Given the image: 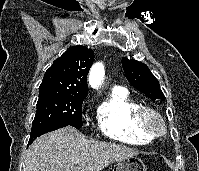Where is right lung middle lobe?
<instances>
[{"instance_id":"right-lung-middle-lobe-1","label":"right lung middle lobe","mask_w":199,"mask_h":171,"mask_svg":"<svg viewBox=\"0 0 199 171\" xmlns=\"http://www.w3.org/2000/svg\"><path fill=\"white\" fill-rule=\"evenodd\" d=\"M84 98L55 90L40 89L32 127L41 123L61 122L80 129Z\"/></svg>"}]
</instances>
